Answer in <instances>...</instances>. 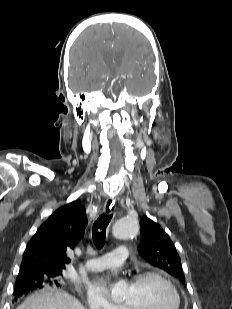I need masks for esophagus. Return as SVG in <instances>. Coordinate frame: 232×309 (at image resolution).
I'll return each instance as SVG.
<instances>
[{
  "mask_svg": "<svg viewBox=\"0 0 232 309\" xmlns=\"http://www.w3.org/2000/svg\"><path fill=\"white\" fill-rule=\"evenodd\" d=\"M115 209V200L113 198H108L104 204V212L108 213V212H112Z\"/></svg>",
  "mask_w": 232,
  "mask_h": 309,
  "instance_id": "obj_1",
  "label": "esophagus"
}]
</instances>
